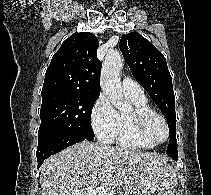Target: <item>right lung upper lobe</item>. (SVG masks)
Returning <instances> with one entry per match:
<instances>
[{"label": "right lung upper lobe", "mask_w": 211, "mask_h": 195, "mask_svg": "<svg viewBox=\"0 0 211 195\" xmlns=\"http://www.w3.org/2000/svg\"><path fill=\"white\" fill-rule=\"evenodd\" d=\"M98 46L91 33H74L67 38L52 57L42 93L68 91L99 96L102 62L97 58Z\"/></svg>", "instance_id": "cb5924a9"}]
</instances>
